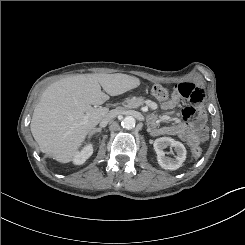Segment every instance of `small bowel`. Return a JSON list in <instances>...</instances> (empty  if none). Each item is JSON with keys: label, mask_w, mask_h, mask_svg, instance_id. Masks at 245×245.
I'll return each mask as SVG.
<instances>
[{"label": "small bowel", "mask_w": 245, "mask_h": 245, "mask_svg": "<svg viewBox=\"0 0 245 245\" xmlns=\"http://www.w3.org/2000/svg\"><path fill=\"white\" fill-rule=\"evenodd\" d=\"M167 91L174 90L169 101L162 105L164 110H171L176 107L182 97L188 99L197 106H188L181 112V121L171 126H158L156 120H150V127L154 135H174L185 141L190 146H196L207 140L208 129L206 126L207 114L204 107L200 104L205 91L198 81L182 82L176 84L174 81L167 82L164 85ZM194 116L192 121L189 119Z\"/></svg>", "instance_id": "obj_1"}]
</instances>
